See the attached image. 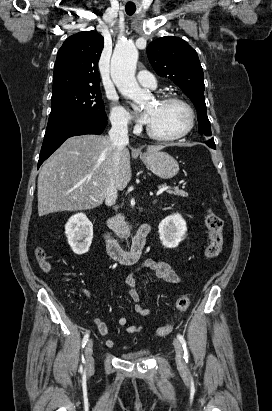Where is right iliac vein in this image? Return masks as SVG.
<instances>
[{"label": "right iliac vein", "mask_w": 272, "mask_h": 411, "mask_svg": "<svg viewBox=\"0 0 272 411\" xmlns=\"http://www.w3.org/2000/svg\"><path fill=\"white\" fill-rule=\"evenodd\" d=\"M86 368L91 371L94 367L93 359V341L89 340L85 347Z\"/></svg>", "instance_id": "obj_1"}]
</instances>
